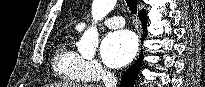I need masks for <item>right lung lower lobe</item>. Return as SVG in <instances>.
I'll use <instances>...</instances> for the list:
<instances>
[{"mask_svg": "<svg viewBox=\"0 0 205 87\" xmlns=\"http://www.w3.org/2000/svg\"><path fill=\"white\" fill-rule=\"evenodd\" d=\"M138 16L143 26V37H142V41H143L147 35L146 11L144 9L140 10L138 13ZM142 59H143V55H140L139 59L130 68H128V70L123 74L121 78V87H133L134 86L135 80L137 78L139 69L142 64Z\"/></svg>", "mask_w": 205, "mask_h": 87, "instance_id": "1", "label": "right lung lower lobe"}]
</instances>
